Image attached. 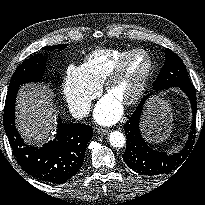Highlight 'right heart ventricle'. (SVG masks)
<instances>
[{"label": "right heart ventricle", "mask_w": 205, "mask_h": 205, "mask_svg": "<svg viewBox=\"0 0 205 205\" xmlns=\"http://www.w3.org/2000/svg\"><path fill=\"white\" fill-rule=\"evenodd\" d=\"M133 49H97L90 53L80 69L95 85L101 86L117 62Z\"/></svg>", "instance_id": "obj_1"}]
</instances>
